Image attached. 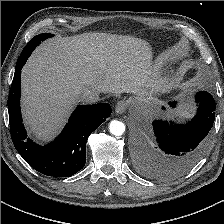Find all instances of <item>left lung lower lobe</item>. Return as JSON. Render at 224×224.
<instances>
[{"instance_id": "left-lung-lower-lobe-1", "label": "left lung lower lobe", "mask_w": 224, "mask_h": 224, "mask_svg": "<svg viewBox=\"0 0 224 224\" xmlns=\"http://www.w3.org/2000/svg\"><path fill=\"white\" fill-rule=\"evenodd\" d=\"M195 100L199 104L197 114L188 123L175 125L161 120L153 122L160 151L157 147L154 150L141 145L137 160L140 171L165 177L182 172L198 161L205 139L213 126L216 104L206 91L198 92ZM176 104L177 102H169L172 108Z\"/></svg>"}]
</instances>
